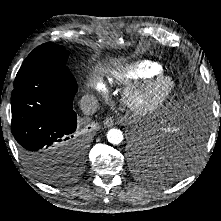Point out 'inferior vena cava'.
I'll list each match as a JSON object with an SVG mask.
<instances>
[{"label":"inferior vena cava","mask_w":221,"mask_h":221,"mask_svg":"<svg viewBox=\"0 0 221 221\" xmlns=\"http://www.w3.org/2000/svg\"><path fill=\"white\" fill-rule=\"evenodd\" d=\"M98 107V100L93 95H84L80 100V108L85 115L95 113Z\"/></svg>","instance_id":"obj_1"}]
</instances>
